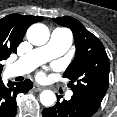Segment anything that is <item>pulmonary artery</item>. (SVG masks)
Wrapping results in <instances>:
<instances>
[{"instance_id":"pulmonary-artery-1","label":"pulmonary artery","mask_w":117,"mask_h":117,"mask_svg":"<svg viewBox=\"0 0 117 117\" xmlns=\"http://www.w3.org/2000/svg\"><path fill=\"white\" fill-rule=\"evenodd\" d=\"M72 34L68 29L55 28L47 44L33 49L26 55L18 59L8 67L10 76H19L27 74L37 68L39 65L63 55L71 46ZM72 92L66 94L68 99L71 98Z\"/></svg>"}]
</instances>
